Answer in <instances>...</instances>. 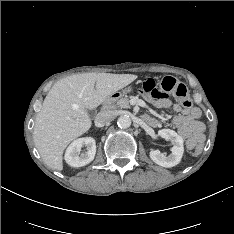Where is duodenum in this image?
I'll return each mask as SVG.
<instances>
[{
    "label": "duodenum",
    "instance_id": "1",
    "mask_svg": "<svg viewBox=\"0 0 234 234\" xmlns=\"http://www.w3.org/2000/svg\"><path fill=\"white\" fill-rule=\"evenodd\" d=\"M118 98H119L118 93H113L112 95L108 96L104 101L102 108L104 110L110 109Z\"/></svg>",
    "mask_w": 234,
    "mask_h": 234
}]
</instances>
